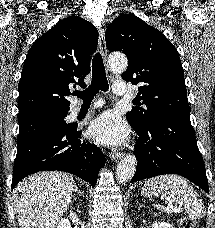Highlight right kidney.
Here are the masks:
<instances>
[{
	"mask_svg": "<svg viewBox=\"0 0 215 228\" xmlns=\"http://www.w3.org/2000/svg\"><path fill=\"white\" fill-rule=\"evenodd\" d=\"M56 228H71V224H70L69 220H66V218H61V220H59Z\"/></svg>",
	"mask_w": 215,
	"mask_h": 228,
	"instance_id": "obj_1",
	"label": "right kidney"
}]
</instances>
